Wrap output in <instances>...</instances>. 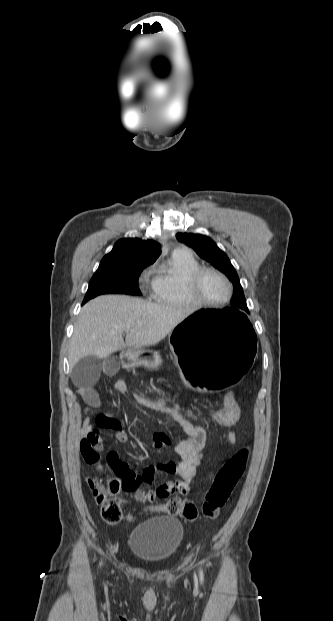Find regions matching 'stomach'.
<instances>
[{"label": "stomach", "instance_id": "stomach-1", "mask_svg": "<svg viewBox=\"0 0 333 621\" xmlns=\"http://www.w3.org/2000/svg\"><path fill=\"white\" fill-rule=\"evenodd\" d=\"M168 338L178 353V372L186 377L179 383L182 391L192 387L226 395L241 385L255 362L252 324L245 314L230 308L183 314ZM122 358L126 365L160 368L164 364L160 353L145 349L128 348Z\"/></svg>", "mask_w": 333, "mask_h": 621}]
</instances>
